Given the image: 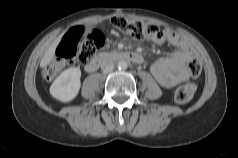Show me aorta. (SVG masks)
I'll return each mask as SVG.
<instances>
[{"mask_svg": "<svg viewBox=\"0 0 238 158\" xmlns=\"http://www.w3.org/2000/svg\"><path fill=\"white\" fill-rule=\"evenodd\" d=\"M128 67V63L124 60L118 62V68L121 70H125Z\"/></svg>", "mask_w": 238, "mask_h": 158, "instance_id": "1", "label": "aorta"}]
</instances>
